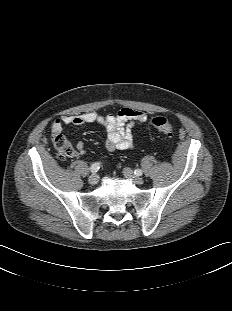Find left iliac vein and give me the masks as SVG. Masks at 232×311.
<instances>
[{
  "mask_svg": "<svg viewBox=\"0 0 232 311\" xmlns=\"http://www.w3.org/2000/svg\"><path fill=\"white\" fill-rule=\"evenodd\" d=\"M123 174L126 178L131 179L134 183L138 185H142L144 183V179L142 177L136 176L133 171L128 167L123 169Z\"/></svg>",
  "mask_w": 232,
  "mask_h": 311,
  "instance_id": "left-iliac-vein-1",
  "label": "left iliac vein"
}]
</instances>
